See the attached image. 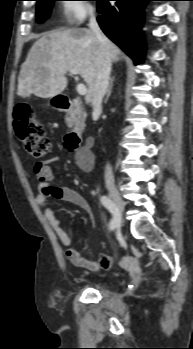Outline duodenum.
Here are the masks:
<instances>
[{"label":"duodenum","instance_id":"410a0bca","mask_svg":"<svg viewBox=\"0 0 193 349\" xmlns=\"http://www.w3.org/2000/svg\"><path fill=\"white\" fill-rule=\"evenodd\" d=\"M56 107L62 111L67 112L71 116L74 115L75 103L73 99H69L65 96H57L55 98ZM82 138V132L77 129L70 130L65 136V146L68 151L76 152L79 149Z\"/></svg>","mask_w":193,"mask_h":349}]
</instances>
